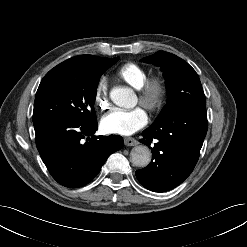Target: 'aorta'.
<instances>
[{"mask_svg": "<svg viewBox=\"0 0 247 247\" xmlns=\"http://www.w3.org/2000/svg\"><path fill=\"white\" fill-rule=\"evenodd\" d=\"M111 100L120 107H131L135 100V95L127 87H115L110 92ZM130 159L136 167H146L151 161V151L145 145L134 147L130 153Z\"/></svg>", "mask_w": 247, "mask_h": 247, "instance_id": "aorta-1", "label": "aorta"}]
</instances>
